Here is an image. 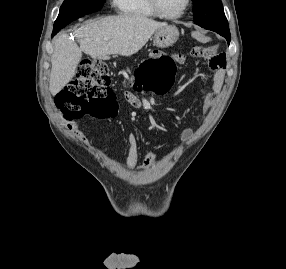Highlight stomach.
<instances>
[{
    "instance_id": "stomach-1",
    "label": "stomach",
    "mask_w": 286,
    "mask_h": 269,
    "mask_svg": "<svg viewBox=\"0 0 286 269\" xmlns=\"http://www.w3.org/2000/svg\"><path fill=\"white\" fill-rule=\"evenodd\" d=\"M178 38V29L174 25H165L155 32L153 43L159 48H166L174 45Z\"/></svg>"
}]
</instances>
